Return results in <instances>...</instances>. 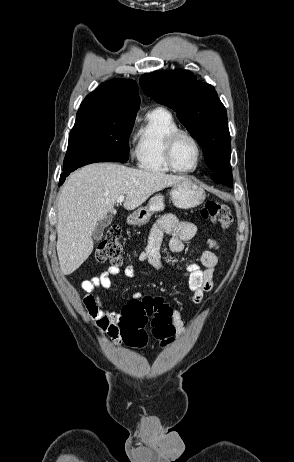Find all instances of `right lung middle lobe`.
<instances>
[{"mask_svg": "<svg viewBox=\"0 0 294 462\" xmlns=\"http://www.w3.org/2000/svg\"><path fill=\"white\" fill-rule=\"evenodd\" d=\"M135 117L136 114L106 111L77 112L63 172L95 162L125 163L128 160V136Z\"/></svg>", "mask_w": 294, "mask_h": 462, "instance_id": "1", "label": "right lung middle lobe"}]
</instances>
